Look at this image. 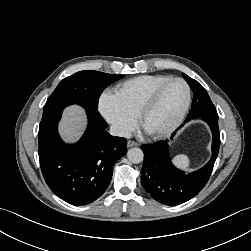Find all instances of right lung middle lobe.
Returning a JSON list of instances; mask_svg holds the SVG:
<instances>
[{
	"label": "right lung middle lobe",
	"mask_w": 251,
	"mask_h": 251,
	"mask_svg": "<svg viewBox=\"0 0 251 251\" xmlns=\"http://www.w3.org/2000/svg\"><path fill=\"white\" fill-rule=\"evenodd\" d=\"M124 75L85 70L63 79L47 99L44 109L63 103H76L98 108L103 90Z\"/></svg>",
	"instance_id": "1"
}]
</instances>
